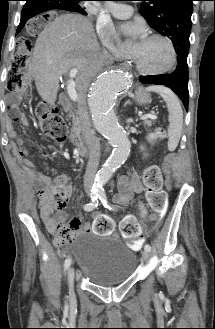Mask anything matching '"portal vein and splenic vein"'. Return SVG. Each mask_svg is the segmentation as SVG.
<instances>
[{
    "label": "portal vein and splenic vein",
    "mask_w": 215,
    "mask_h": 329,
    "mask_svg": "<svg viewBox=\"0 0 215 329\" xmlns=\"http://www.w3.org/2000/svg\"><path fill=\"white\" fill-rule=\"evenodd\" d=\"M77 73H78V69H76V68L70 70V72H69L70 81L68 82V85H67L68 95H69L70 99L73 101H77L79 98V96L76 92V89H75L76 83L73 80V78L76 77ZM141 119L142 120L157 119V116L154 113L146 114V115L142 116Z\"/></svg>",
    "instance_id": "portal-vein-and-splenic-vein-1"
}]
</instances>
